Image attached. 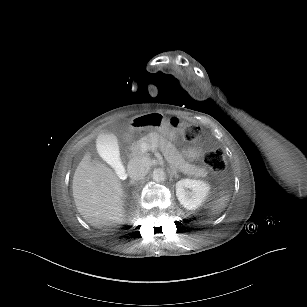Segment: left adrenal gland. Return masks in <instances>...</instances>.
<instances>
[{"mask_svg": "<svg viewBox=\"0 0 307 307\" xmlns=\"http://www.w3.org/2000/svg\"><path fill=\"white\" fill-rule=\"evenodd\" d=\"M172 173H173V175H174L175 178H178V175H177V171H176V170H173Z\"/></svg>", "mask_w": 307, "mask_h": 307, "instance_id": "a2214340", "label": "left adrenal gland"}]
</instances>
